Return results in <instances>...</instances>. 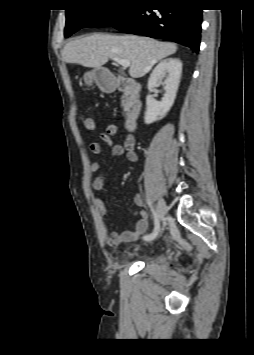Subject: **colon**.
Wrapping results in <instances>:
<instances>
[{"label":"colon","mask_w":254,"mask_h":355,"mask_svg":"<svg viewBox=\"0 0 254 355\" xmlns=\"http://www.w3.org/2000/svg\"><path fill=\"white\" fill-rule=\"evenodd\" d=\"M82 124L86 131L93 132L97 129V123L91 116H85L82 120Z\"/></svg>","instance_id":"1"}]
</instances>
